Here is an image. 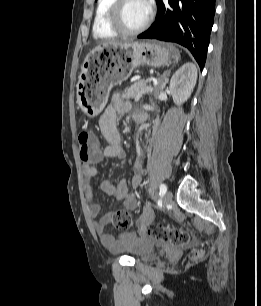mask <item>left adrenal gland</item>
Returning <instances> with one entry per match:
<instances>
[{
    "instance_id": "1",
    "label": "left adrenal gland",
    "mask_w": 261,
    "mask_h": 306,
    "mask_svg": "<svg viewBox=\"0 0 261 306\" xmlns=\"http://www.w3.org/2000/svg\"><path fill=\"white\" fill-rule=\"evenodd\" d=\"M170 71H171V70L165 71V72L161 75V77L159 78V84H160V86H161L162 89L165 87L166 83L168 82V78H167V77L170 75Z\"/></svg>"
}]
</instances>
